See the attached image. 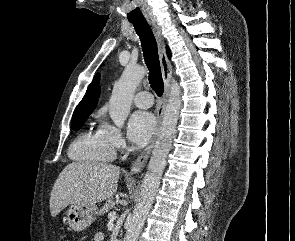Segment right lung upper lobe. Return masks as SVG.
Instances as JSON below:
<instances>
[{
    "label": "right lung upper lobe",
    "instance_id": "1",
    "mask_svg": "<svg viewBox=\"0 0 295 241\" xmlns=\"http://www.w3.org/2000/svg\"><path fill=\"white\" fill-rule=\"evenodd\" d=\"M167 55L170 58L171 57V52L170 49L167 47ZM100 79V75L97 74L93 78V81L89 85L86 94L84 95L83 99L81 102L77 105L73 116L75 115H80V114H85V113H91L94 108L96 107L98 97L100 94V88L98 86Z\"/></svg>",
    "mask_w": 295,
    "mask_h": 241
}]
</instances>
